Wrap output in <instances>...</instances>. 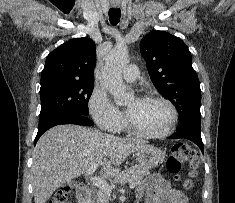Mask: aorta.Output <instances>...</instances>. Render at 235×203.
I'll return each mask as SVG.
<instances>
[{"label": "aorta", "mask_w": 235, "mask_h": 203, "mask_svg": "<svg viewBox=\"0 0 235 203\" xmlns=\"http://www.w3.org/2000/svg\"><path fill=\"white\" fill-rule=\"evenodd\" d=\"M129 62L126 45L115 46L107 55L102 71V85L116 98L118 104L127 100V93L122 79V70Z\"/></svg>", "instance_id": "762f6f07"}]
</instances>
